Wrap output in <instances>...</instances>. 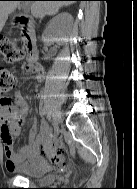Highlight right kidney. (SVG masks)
Listing matches in <instances>:
<instances>
[{"mask_svg": "<svg viewBox=\"0 0 137 189\" xmlns=\"http://www.w3.org/2000/svg\"><path fill=\"white\" fill-rule=\"evenodd\" d=\"M72 22V17L69 13H61L55 18L51 20L49 23L46 31L45 36L46 37H52L54 36L60 29L65 28L66 26L69 27ZM65 41V38L61 37L57 39V42L63 43Z\"/></svg>", "mask_w": 137, "mask_h": 189, "instance_id": "ca27d5eb", "label": "right kidney"}]
</instances>
